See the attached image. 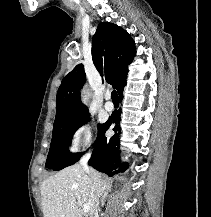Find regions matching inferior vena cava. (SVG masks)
<instances>
[{
	"instance_id": "602c4592",
	"label": "inferior vena cava",
	"mask_w": 211,
	"mask_h": 217,
	"mask_svg": "<svg viewBox=\"0 0 211 217\" xmlns=\"http://www.w3.org/2000/svg\"><path fill=\"white\" fill-rule=\"evenodd\" d=\"M90 156H91V153H88L86 155H84L81 159H80V164L81 166L83 167V169L85 171H89V168H88V160L90 159ZM95 207H94V212L92 214V217H98V205H99V197H96V200H95Z\"/></svg>"
}]
</instances>
